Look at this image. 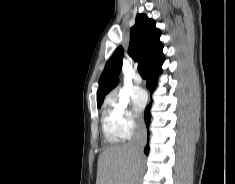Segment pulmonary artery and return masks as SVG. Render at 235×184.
<instances>
[{"label":"pulmonary artery","instance_id":"1","mask_svg":"<svg viewBox=\"0 0 235 184\" xmlns=\"http://www.w3.org/2000/svg\"><path fill=\"white\" fill-rule=\"evenodd\" d=\"M132 79H133V82L137 85L142 83V77L140 76L138 72H134Z\"/></svg>","mask_w":235,"mask_h":184}]
</instances>
